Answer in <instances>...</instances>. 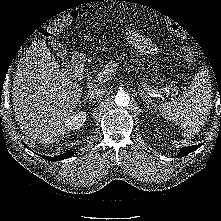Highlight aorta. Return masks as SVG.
Wrapping results in <instances>:
<instances>
[{
	"instance_id": "obj_1",
	"label": "aorta",
	"mask_w": 221,
	"mask_h": 221,
	"mask_svg": "<svg viewBox=\"0 0 221 221\" xmlns=\"http://www.w3.org/2000/svg\"><path fill=\"white\" fill-rule=\"evenodd\" d=\"M115 103L118 107H128L130 105V97L127 93L120 91L115 96Z\"/></svg>"
}]
</instances>
